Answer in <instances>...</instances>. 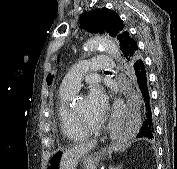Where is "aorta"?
<instances>
[{
    "instance_id": "1",
    "label": "aorta",
    "mask_w": 177,
    "mask_h": 169,
    "mask_svg": "<svg viewBox=\"0 0 177 169\" xmlns=\"http://www.w3.org/2000/svg\"><path fill=\"white\" fill-rule=\"evenodd\" d=\"M85 47H86V50H90V51L95 50L98 47H102L106 50V52L109 55L115 58L120 57V50L118 46L115 44L114 41H112L106 36H96V37L91 38L87 42Z\"/></svg>"
}]
</instances>
